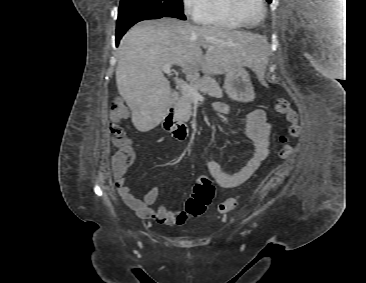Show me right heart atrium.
Returning <instances> with one entry per match:
<instances>
[{
  "label": "right heart atrium",
  "mask_w": 366,
  "mask_h": 283,
  "mask_svg": "<svg viewBox=\"0 0 366 283\" xmlns=\"http://www.w3.org/2000/svg\"><path fill=\"white\" fill-rule=\"evenodd\" d=\"M207 0H182L184 12L194 20H198L203 14Z\"/></svg>",
  "instance_id": "right-heart-atrium-1"
}]
</instances>
